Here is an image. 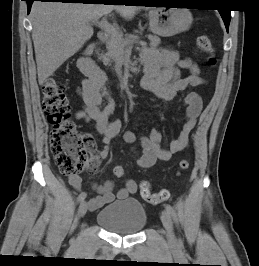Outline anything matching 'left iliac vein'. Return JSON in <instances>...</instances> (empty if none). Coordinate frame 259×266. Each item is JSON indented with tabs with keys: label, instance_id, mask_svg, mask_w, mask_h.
<instances>
[{
	"label": "left iliac vein",
	"instance_id": "1",
	"mask_svg": "<svg viewBox=\"0 0 259 266\" xmlns=\"http://www.w3.org/2000/svg\"><path fill=\"white\" fill-rule=\"evenodd\" d=\"M160 218H161L162 224L166 230V237H167L168 243L171 246H175L176 245V237H175V234L173 231V224H172L170 216L167 214V212L163 211L161 213Z\"/></svg>",
	"mask_w": 259,
	"mask_h": 266
}]
</instances>
